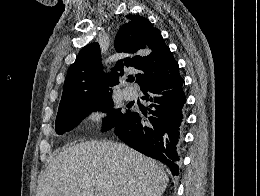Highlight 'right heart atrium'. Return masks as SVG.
<instances>
[{
  "label": "right heart atrium",
  "instance_id": "right-heart-atrium-1",
  "mask_svg": "<svg viewBox=\"0 0 260 196\" xmlns=\"http://www.w3.org/2000/svg\"><path fill=\"white\" fill-rule=\"evenodd\" d=\"M89 119L93 120V121H96L98 120L100 114L97 110H92L90 113H89ZM91 143H101V142H91ZM123 163V162H122Z\"/></svg>",
  "mask_w": 260,
  "mask_h": 196
}]
</instances>
